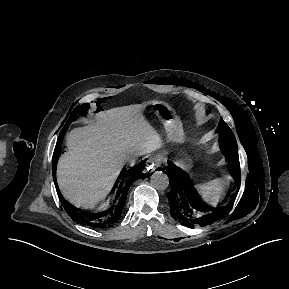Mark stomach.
<instances>
[{
	"label": "stomach",
	"instance_id": "obj_1",
	"mask_svg": "<svg viewBox=\"0 0 289 289\" xmlns=\"http://www.w3.org/2000/svg\"><path fill=\"white\" fill-rule=\"evenodd\" d=\"M144 111H154L163 123L167 132V138L175 145L185 143V132L180 119L175 114V111L165 102L162 101H147L143 105ZM181 165L184 168L190 167V162L187 158L181 160Z\"/></svg>",
	"mask_w": 289,
	"mask_h": 289
}]
</instances>
